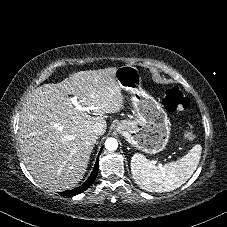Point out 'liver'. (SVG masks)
I'll return each instance as SVG.
<instances>
[{
  "label": "liver",
  "instance_id": "obj_1",
  "mask_svg": "<svg viewBox=\"0 0 227 227\" xmlns=\"http://www.w3.org/2000/svg\"><path fill=\"white\" fill-rule=\"evenodd\" d=\"M116 69L77 72L60 83L34 89L25 102L19 121L20 149L27 169L42 187L65 191L83 179L98 139L93 125L100 122L106 128L101 115L123 108ZM70 95L88 110L73 107Z\"/></svg>",
  "mask_w": 227,
  "mask_h": 227
}]
</instances>
